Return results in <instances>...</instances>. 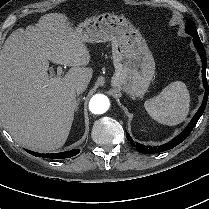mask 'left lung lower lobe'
I'll use <instances>...</instances> for the list:
<instances>
[{"label": "left lung lower lobe", "mask_w": 209, "mask_h": 209, "mask_svg": "<svg viewBox=\"0 0 209 209\" xmlns=\"http://www.w3.org/2000/svg\"><path fill=\"white\" fill-rule=\"evenodd\" d=\"M193 43L202 60V80H203V85L205 88V94H204L202 105L200 106L199 110L194 115L193 119L190 121L188 126L184 129V131L181 132L178 136H176L173 140H171L170 142L164 145H161L158 147H151V146H146V145L134 142L131 136L126 132L127 139L130 141L131 145L134 146L136 150L140 153L154 154V153L163 152V151H167L169 149L174 148L175 146L180 144L183 140H185L188 137V135L191 133V131L193 130V128L195 127L196 123L198 122L199 118L201 117V115L203 114L205 110L207 100H208V83L206 79V66H207L206 53H205L203 44L199 36L193 37Z\"/></svg>", "instance_id": "0a47b994"}]
</instances>
